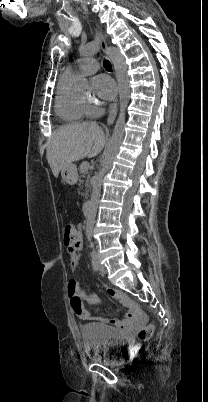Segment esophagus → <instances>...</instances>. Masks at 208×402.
I'll return each instance as SVG.
<instances>
[{
	"label": "esophagus",
	"instance_id": "esophagus-1",
	"mask_svg": "<svg viewBox=\"0 0 208 402\" xmlns=\"http://www.w3.org/2000/svg\"><path fill=\"white\" fill-rule=\"evenodd\" d=\"M100 45H101L102 50L105 53H108V46H107L106 40H105L103 35L101 36ZM117 109H118V99H116L110 105V111H109V115H108V118H107L108 125H111L114 122V120L116 118V115H117Z\"/></svg>",
	"mask_w": 208,
	"mask_h": 402
}]
</instances>
